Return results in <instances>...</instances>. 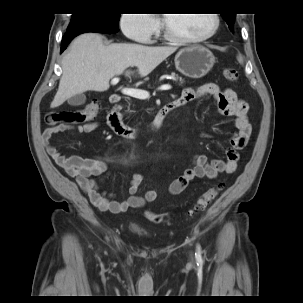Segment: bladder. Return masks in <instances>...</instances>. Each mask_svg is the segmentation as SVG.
<instances>
[{"mask_svg":"<svg viewBox=\"0 0 303 303\" xmlns=\"http://www.w3.org/2000/svg\"><path fill=\"white\" fill-rule=\"evenodd\" d=\"M131 230L138 234L142 232V228L138 224H133Z\"/></svg>","mask_w":303,"mask_h":303,"instance_id":"bladder-1","label":"bladder"}]
</instances>
